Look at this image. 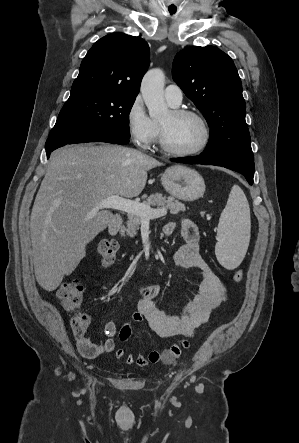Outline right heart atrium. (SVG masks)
Returning <instances> with one entry per match:
<instances>
[{
	"label": "right heart atrium",
	"instance_id": "1",
	"mask_svg": "<svg viewBox=\"0 0 299 443\" xmlns=\"http://www.w3.org/2000/svg\"><path fill=\"white\" fill-rule=\"evenodd\" d=\"M126 125L132 141L142 149L149 148L159 133L158 125L148 115L141 96H136L128 106Z\"/></svg>",
	"mask_w": 299,
	"mask_h": 443
}]
</instances>
